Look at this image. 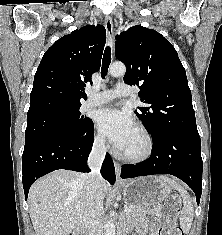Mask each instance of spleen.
Wrapping results in <instances>:
<instances>
[{
  "mask_svg": "<svg viewBox=\"0 0 222 235\" xmlns=\"http://www.w3.org/2000/svg\"><path fill=\"white\" fill-rule=\"evenodd\" d=\"M161 179L169 184L172 188L176 189L182 196L184 206L180 212V226L183 232L188 233L191 228L194 216L192 200L187 191L175 180L166 176H162Z\"/></svg>",
  "mask_w": 222,
  "mask_h": 235,
  "instance_id": "obj_1",
  "label": "spleen"
}]
</instances>
